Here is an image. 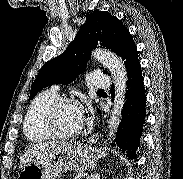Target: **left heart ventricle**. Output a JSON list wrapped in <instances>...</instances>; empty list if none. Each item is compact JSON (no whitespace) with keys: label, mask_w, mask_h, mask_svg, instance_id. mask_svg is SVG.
<instances>
[{"label":"left heart ventricle","mask_w":183,"mask_h":179,"mask_svg":"<svg viewBox=\"0 0 183 179\" xmlns=\"http://www.w3.org/2000/svg\"><path fill=\"white\" fill-rule=\"evenodd\" d=\"M84 123V111L76 105H63L56 113L54 124L62 133L76 131Z\"/></svg>","instance_id":"obj_1"}]
</instances>
